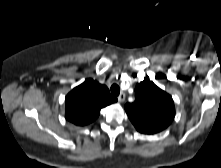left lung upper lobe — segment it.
Masks as SVG:
<instances>
[{
    "label": "left lung upper lobe",
    "instance_id": "left-lung-upper-lobe-1",
    "mask_svg": "<svg viewBox=\"0 0 221 168\" xmlns=\"http://www.w3.org/2000/svg\"><path fill=\"white\" fill-rule=\"evenodd\" d=\"M125 111L137 131L143 134L164 130L175 116L172 97L157 87L149 77L137 84L135 101L127 103Z\"/></svg>",
    "mask_w": 221,
    "mask_h": 168
}]
</instances>
